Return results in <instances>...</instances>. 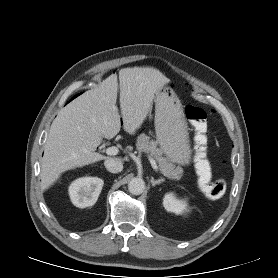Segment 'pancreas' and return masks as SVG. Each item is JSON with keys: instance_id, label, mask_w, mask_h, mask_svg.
<instances>
[{"instance_id": "1", "label": "pancreas", "mask_w": 278, "mask_h": 278, "mask_svg": "<svg viewBox=\"0 0 278 278\" xmlns=\"http://www.w3.org/2000/svg\"><path fill=\"white\" fill-rule=\"evenodd\" d=\"M136 148L149 153L158 163L161 173L171 180H180L183 174L181 168L176 167L168 158L163 157V152L157 147V142L149 136L140 134L137 137Z\"/></svg>"}]
</instances>
